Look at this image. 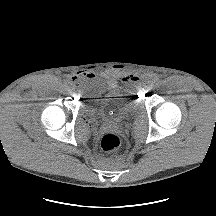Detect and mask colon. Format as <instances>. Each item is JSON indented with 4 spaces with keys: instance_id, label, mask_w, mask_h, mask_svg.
<instances>
[{
    "instance_id": "obj_1",
    "label": "colon",
    "mask_w": 216,
    "mask_h": 216,
    "mask_svg": "<svg viewBox=\"0 0 216 216\" xmlns=\"http://www.w3.org/2000/svg\"><path fill=\"white\" fill-rule=\"evenodd\" d=\"M121 145V140L118 135L114 133H107L101 139V148L104 151L117 150Z\"/></svg>"
}]
</instances>
